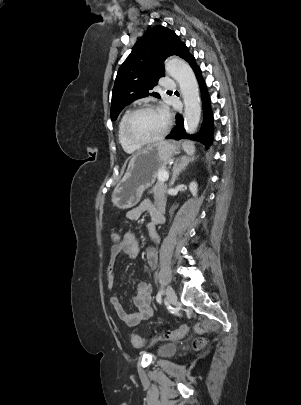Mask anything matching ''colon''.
I'll return each instance as SVG.
<instances>
[{"instance_id":"obj_1","label":"colon","mask_w":301,"mask_h":405,"mask_svg":"<svg viewBox=\"0 0 301 405\" xmlns=\"http://www.w3.org/2000/svg\"><path fill=\"white\" fill-rule=\"evenodd\" d=\"M119 233L113 232L110 234V239L114 243L115 246L119 245ZM187 332V326L183 325L176 330L168 331L163 334V338L166 340L170 339H178L183 337ZM131 342L135 347H140L146 343V338L140 337L138 335L132 334L131 335ZM205 342L203 339H194L193 340V347L196 349L202 348Z\"/></svg>"}]
</instances>
